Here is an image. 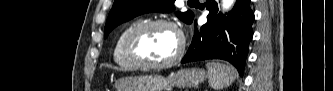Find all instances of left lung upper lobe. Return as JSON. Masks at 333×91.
Here are the masks:
<instances>
[{
  "label": "left lung upper lobe",
  "mask_w": 333,
  "mask_h": 91,
  "mask_svg": "<svg viewBox=\"0 0 333 91\" xmlns=\"http://www.w3.org/2000/svg\"><path fill=\"white\" fill-rule=\"evenodd\" d=\"M175 0H115L109 13L104 38L119 24L124 23L140 14L147 12H172ZM177 17L187 24L192 23L194 13L192 11L177 12Z\"/></svg>",
  "instance_id": "1"
}]
</instances>
